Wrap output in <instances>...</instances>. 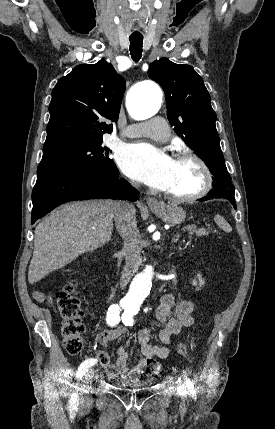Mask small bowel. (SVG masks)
<instances>
[{"mask_svg":"<svg viewBox=\"0 0 275 429\" xmlns=\"http://www.w3.org/2000/svg\"><path fill=\"white\" fill-rule=\"evenodd\" d=\"M35 298L40 302L51 303L52 298L41 292L34 293ZM195 302L191 299H183L176 302L171 294H164L160 297L159 305L155 309L150 321V325L162 323L164 328L159 334L162 345L150 344V326L144 327L138 333V342L143 355L133 368L128 367V353L123 346L118 349V357L114 364L107 366L106 373L110 378L121 377L123 379L135 380L142 374L149 360L154 358L164 359L168 356L169 350L166 347L171 337L178 334L183 328L190 327L194 323L193 311ZM122 327H113L103 331L99 335V342L107 344L125 333Z\"/></svg>","mask_w":275,"mask_h":429,"instance_id":"small-bowel-1","label":"small bowel"}]
</instances>
